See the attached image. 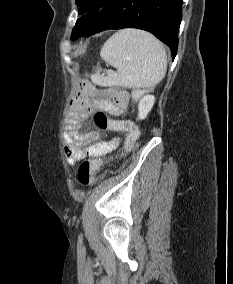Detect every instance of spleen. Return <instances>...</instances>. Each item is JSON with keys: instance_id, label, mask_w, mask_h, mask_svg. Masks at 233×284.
I'll use <instances>...</instances> for the list:
<instances>
[{"instance_id": "3e777b00", "label": "spleen", "mask_w": 233, "mask_h": 284, "mask_svg": "<svg viewBox=\"0 0 233 284\" xmlns=\"http://www.w3.org/2000/svg\"><path fill=\"white\" fill-rule=\"evenodd\" d=\"M101 58L116 72L107 76L100 70L92 77L100 86H122L133 89H150L165 76L167 56L161 42L148 32L123 29L112 35L103 45Z\"/></svg>"}]
</instances>
